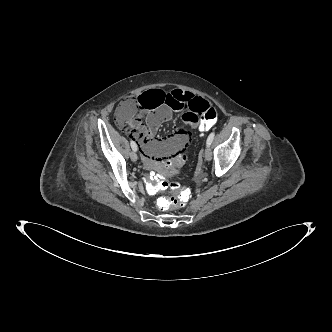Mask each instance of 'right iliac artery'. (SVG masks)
<instances>
[{
    "instance_id": "right-iliac-artery-1",
    "label": "right iliac artery",
    "mask_w": 332,
    "mask_h": 332,
    "mask_svg": "<svg viewBox=\"0 0 332 332\" xmlns=\"http://www.w3.org/2000/svg\"><path fill=\"white\" fill-rule=\"evenodd\" d=\"M130 145L133 151H137V144L133 140L130 141Z\"/></svg>"
}]
</instances>
